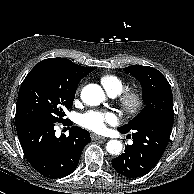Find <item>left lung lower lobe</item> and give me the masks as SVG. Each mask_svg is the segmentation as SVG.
<instances>
[{
  "label": "left lung lower lobe",
  "instance_id": "left-lung-lower-lobe-1",
  "mask_svg": "<svg viewBox=\"0 0 194 194\" xmlns=\"http://www.w3.org/2000/svg\"><path fill=\"white\" fill-rule=\"evenodd\" d=\"M174 115H159L139 120L130 130L133 144L125 153L112 160L113 168L127 178H137L150 172L160 160L168 144ZM131 136V134H128Z\"/></svg>",
  "mask_w": 194,
  "mask_h": 194
}]
</instances>
